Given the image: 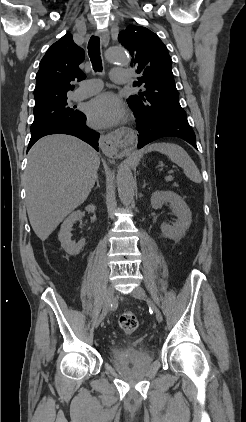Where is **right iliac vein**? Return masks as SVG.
Segmentation results:
<instances>
[{"mask_svg":"<svg viewBox=\"0 0 246 422\" xmlns=\"http://www.w3.org/2000/svg\"><path fill=\"white\" fill-rule=\"evenodd\" d=\"M114 301H115V290H114V287L110 285L107 288L103 311L96 321V327H98L103 322V320L105 319Z\"/></svg>","mask_w":246,"mask_h":422,"instance_id":"1","label":"right iliac vein"}]
</instances>
